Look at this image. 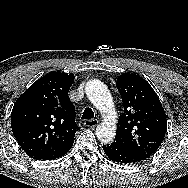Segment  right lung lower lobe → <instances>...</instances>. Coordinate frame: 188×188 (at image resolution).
I'll list each match as a JSON object with an SVG mask.
<instances>
[{"mask_svg": "<svg viewBox=\"0 0 188 188\" xmlns=\"http://www.w3.org/2000/svg\"><path fill=\"white\" fill-rule=\"evenodd\" d=\"M72 145H73V143L64 147V148L44 153L35 159H37V160H51V159L59 158V157L63 156L64 154H66L70 150Z\"/></svg>", "mask_w": 188, "mask_h": 188, "instance_id": "98d812e1", "label": "right lung lower lobe"}]
</instances>
